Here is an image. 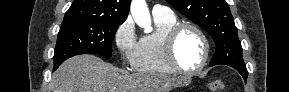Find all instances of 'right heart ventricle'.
<instances>
[{"label":"right heart ventricle","mask_w":289,"mask_h":92,"mask_svg":"<svg viewBox=\"0 0 289 92\" xmlns=\"http://www.w3.org/2000/svg\"><path fill=\"white\" fill-rule=\"evenodd\" d=\"M156 30L144 35L138 41L137 54L133 68L142 73L170 75L175 71L166 62L163 52V39L166 32L179 23L173 14H153Z\"/></svg>","instance_id":"obj_1"}]
</instances>
